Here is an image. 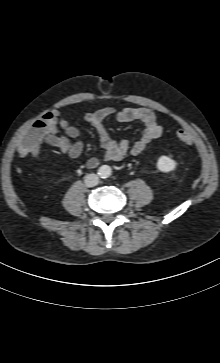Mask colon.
<instances>
[{
  "label": "colon",
  "instance_id": "obj_1",
  "mask_svg": "<svg viewBox=\"0 0 220 363\" xmlns=\"http://www.w3.org/2000/svg\"><path fill=\"white\" fill-rule=\"evenodd\" d=\"M50 115H45L43 120L35 122V124L31 127L28 132V139L33 144H38L42 141L45 135V129L47 127V123L50 120ZM176 138L182 143H191V136L184 130H179L176 132Z\"/></svg>",
  "mask_w": 220,
  "mask_h": 363
}]
</instances>
